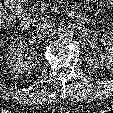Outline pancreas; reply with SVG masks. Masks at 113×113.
<instances>
[{"label": "pancreas", "instance_id": "pancreas-1", "mask_svg": "<svg viewBox=\"0 0 113 113\" xmlns=\"http://www.w3.org/2000/svg\"><path fill=\"white\" fill-rule=\"evenodd\" d=\"M38 10L35 8V7H33V8H31V12H32V22L34 23V24H36V23H40L41 21H45L47 18L44 16V11L43 10H41V12H37Z\"/></svg>", "mask_w": 113, "mask_h": 113}]
</instances>
